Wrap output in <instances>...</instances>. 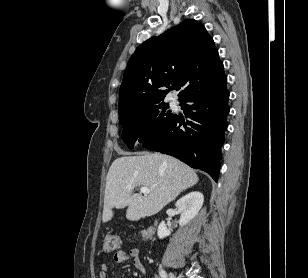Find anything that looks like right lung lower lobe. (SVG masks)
<instances>
[{"label": "right lung lower lobe", "instance_id": "right-lung-lower-lobe-1", "mask_svg": "<svg viewBox=\"0 0 308 278\" xmlns=\"http://www.w3.org/2000/svg\"><path fill=\"white\" fill-rule=\"evenodd\" d=\"M228 98L227 77L224 75L215 83L180 99L187 119L175 115L166 128L143 142V146L202 169L217 182L220 149L229 113Z\"/></svg>", "mask_w": 308, "mask_h": 278}]
</instances>
